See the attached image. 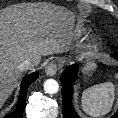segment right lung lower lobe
Wrapping results in <instances>:
<instances>
[{"label":"right lung lower lobe","instance_id":"right-lung-lower-lobe-1","mask_svg":"<svg viewBox=\"0 0 118 118\" xmlns=\"http://www.w3.org/2000/svg\"><path fill=\"white\" fill-rule=\"evenodd\" d=\"M37 78H38V74L34 72L22 81L21 86H20L21 94L19 95L17 106L15 110L7 118H21L22 117L23 109L25 105V99H26V90L29 87V85L32 82H34Z\"/></svg>","mask_w":118,"mask_h":118}]
</instances>
